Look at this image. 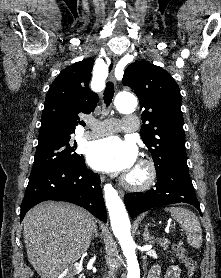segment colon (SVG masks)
<instances>
[{"label":"colon","instance_id":"5ec220e1","mask_svg":"<svg viewBox=\"0 0 221 278\" xmlns=\"http://www.w3.org/2000/svg\"><path fill=\"white\" fill-rule=\"evenodd\" d=\"M174 252L185 267V278H195L197 274V263L187 254L186 248L181 243H176L174 245Z\"/></svg>","mask_w":221,"mask_h":278}]
</instances>
